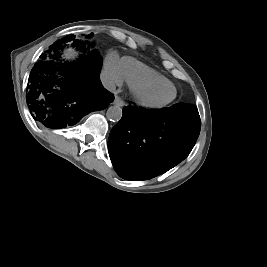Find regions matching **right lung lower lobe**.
I'll return each instance as SVG.
<instances>
[{
    "label": "right lung lower lobe",
    "instance_id": "obj_1",
    "mask_svg": "<svg viewBox=\"0 0 267 267\" xmlns=\"http://www.w3.org/2000/svg\"><path fill=\"white\" fill-rule=\"evenodd\" d=\"M61 49L63 44L40 56L27 86L26 101L32 117L51 129L73 126L114 100L99 78V54L88 51L75 62L61 63Z\"/></svg>",
    "mask_w": 267,
    "mask_h": 267
}]
</instances>
